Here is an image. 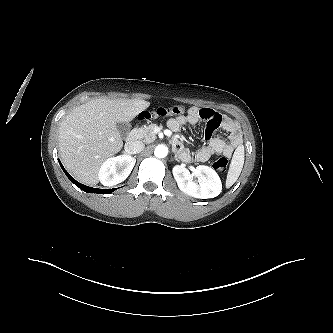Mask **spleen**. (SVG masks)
<instances>
[{
    "instance_id": "obj_1",
    "label": "spleen",
    "mask_w": 333,
    "mask_h": 333,
    "mask_svg": "<svg viewBox=\"0 0 333 333\" xmlns=\"http://www.w3.org/2000/svg\"><path fill=\"white\" fill-rule=\"evenodd\" d=\"M244 164V148L238 147L233 155L226 179V187H231L238 179Z\"/></svg>"
}]
</instances>
